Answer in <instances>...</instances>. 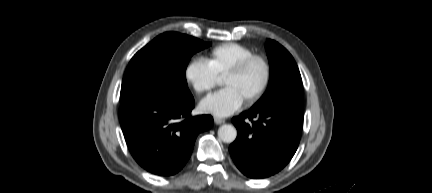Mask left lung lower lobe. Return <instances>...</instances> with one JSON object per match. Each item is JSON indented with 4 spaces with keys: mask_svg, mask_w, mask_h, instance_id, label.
<instances>
[{
    "mask_svg": "<svg viewBox=\"0 0 432 193\" xmlns=\"http://www.w3.org/2000/svg\"><path fill=\"white\" fill-rule=\"evenodd\" d=\"M303 110L280 105L251 108L232 118L237 137L229 152L247 177L260 179L281 171L301 139Z\"/></svg>",
    "mask_w": 432,
    "mask_h": 193,
    "instance_id": "left-lung-lower-lobe-1",
    "label": "left lung lower lobe"
}]
</instances>
